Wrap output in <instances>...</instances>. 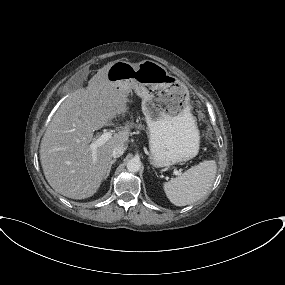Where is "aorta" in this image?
I'll return each instance as SVG.
<instances>
[{"label": "aorta", "instance_id": "762f6f07", "mask_svg": "<svg viewBox=\"0 0 285 285\" xmlns=\"http://www.w3.org/2000/svg\"><path fill=\"white\" fill-rule=\"evenodd\" d=\"M141 168V163L138 159H131L127 162V169L131 173L138 172Z\"/></svg>", "mask_w": 285, "mask_h": 285}]
</instances>
